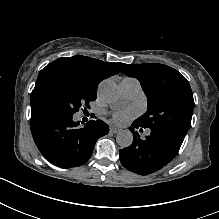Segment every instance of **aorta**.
Instances as JSON below:
<instances>
[{
	"label": "aorta",
	"instance_id": "1",
	"mask_svg": "<svg viewBox=\"0 0 219 219\" xmlns=\"http://www.w3.org/2000/svg\"><path fill=\"white\" fill-rule=\"evenodd\" d=\"M99 96L106 103L112 105L119 99V92L116 84L111 80H105L99 87ZM117 144L126 148L133 142V135L129 130L120 131L116 137Z\"/></svg>",
	"mask_w": 219,
	"mask_h": 219
}]
</instances>
